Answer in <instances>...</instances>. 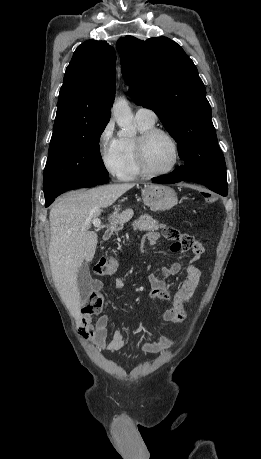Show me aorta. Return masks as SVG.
<instances>
[{"label": "aorta", "instance_id": "aorta-1", "mask_svg": "<svg viewBox=\"0 0 261 459\" xmlns=\"http://www.w3.org/2000/svg\"><path fill=\"white\" fill-rule=\"evenodd\" d=\"M112 115L121 128L123 136L133 137L136 135L133 114L128 102L124 98H119L115 101L112 107Z\"/></svg>", "mask_w": 261, "mask_h": 459}]
</instances>
